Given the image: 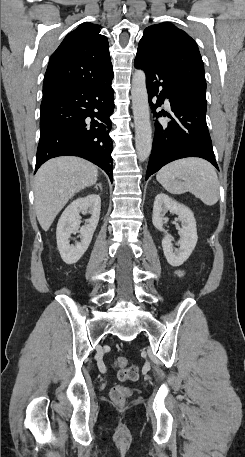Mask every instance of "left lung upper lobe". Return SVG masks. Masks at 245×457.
I'll use <instances>...</instances> for the list:
<instances>
[{
    "label": "left lung upper lobe",
    "mask_w": 245,
    "mask_h": 457,
    "mask_svg": "<svg viewBox=\"0 0 245 457\" xmlns=\"http://www.w3.org/2000/svg\"><path fill=\"white\" fill-rule=\"evenodd\" d=\"M137 55L161 62L186 86L188 97L206 103L204 65L196 42L169 22L148 26L141 38Z\"/></svg>",
    "instance_id": "obj_1"
}]
</instances>
